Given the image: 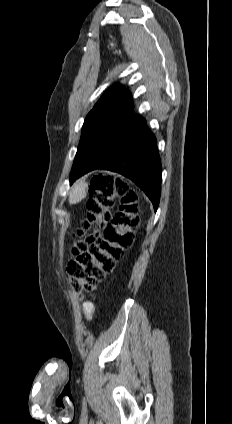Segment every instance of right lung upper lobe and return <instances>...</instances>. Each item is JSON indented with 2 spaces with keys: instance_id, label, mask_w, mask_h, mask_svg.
<instances>
[{
  "instance_id": "cb5924a9",
  "label": "right lung upper lobe",
  "mask_w": 232,
  "mask_h": 424,
  "mask_svg": "<svg viewBox=\"0 0 232 424\" xmlns=\"http://www.w3.org/2000/svg\"><path fill=\"white\" fill-rule=\"evenodd\" d=\"M131 95L124 90L121 85H116L108 90L100 100L95 104L94 109L99 108H131Z\"/></svg>"
}]
</instances>
